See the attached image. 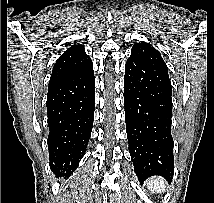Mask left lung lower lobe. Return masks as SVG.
I'll list each match as a JSON object with an SVG mask.
<instances>
[{
    "label": "left lung lower lobe",
    "instance_id": "left-lung-lower-lobe-1",
    "mask_svg": "<svg viewBox=\"0 0 214 203\" xmlns=\"http://www.w3.org/2000/svg\"><path fill=\"white\" fill-rule=\"evenodd\" d=\"M172 87L161 56L132 49L124 76V105L129 152L143 182L160 175L171 182L174 173Z\"/></svg>",
    "mask_w": 214,
    "mask_h": 203
}]
</instances>
